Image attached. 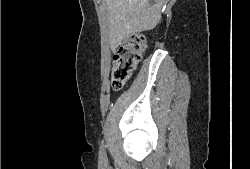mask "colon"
I'll use <instances>...</instances> for the list:
<instances>
[{
	"instance_id": "colon-1",
	"label": "colon",
	"mask_w": 250,
	"mask_h": 169,
	"mask_svg": "<svg viewBox=\"0 0 250 169\" xmlns=\"http://www.w3.org/2000/svg\"><path fill=\"white\" fill-rule=\"evenodd\" d=\"M145 34H129V38H121L113 57L111 85L114 90L122 89L137 69L145 43H150Z\"/></svg>"
}]
</instances>
